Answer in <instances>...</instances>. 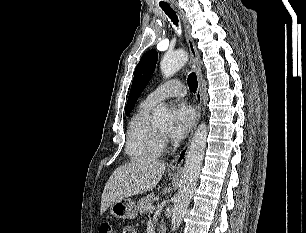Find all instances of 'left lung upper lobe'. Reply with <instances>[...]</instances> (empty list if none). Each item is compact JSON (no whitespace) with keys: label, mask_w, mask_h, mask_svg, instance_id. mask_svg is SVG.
Segmentation results:
<instances>
[{"label":"left lung upper lobe","mask_w":306,"mask_h":233,"mask_svg":"<svg viewBox=\"0 0 306 233\" xmlns=\"http://www.w3.org/2000/svg\"><path fill=\"white\" fill-rule=\"evenodd\" d=\"M158 59V53L155 50H151L143 55L140 62L136 66L134 79L132 82L129 98L125 108V114L128 116L134 107L140 94L146 87L151 78Z\"/></svg>","instance_id":"obj_1"}]
</instances>
